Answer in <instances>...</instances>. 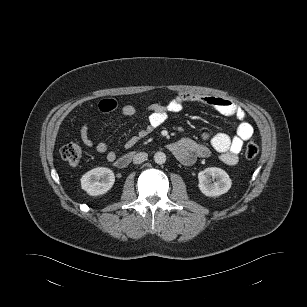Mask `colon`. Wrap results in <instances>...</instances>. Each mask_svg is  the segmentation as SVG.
<instances>
[{"instance_id":"colon-1","label":"colon","mask_w":307,"mask_h":307,"mask_svg":"<svg viewBox=\"0 0 307 307\" xmlns=\"http://www.w3.org/2000/svg\"><path fill=\"white\" fill-rule=\"evenodd\" d=\"M259 153V147L254 142H249L245 147V156L248 159L255 158ZM61 157L70 164H77L82 156L81 147L76 143L66 144L61 148Z\"/></svg>"}]
</instances>
